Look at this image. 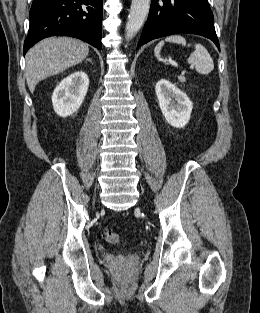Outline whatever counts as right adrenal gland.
<instances>
[{"label": "right adrenal gland", "instance_id": "obj_1", "mask_svg": "<svg viewBox=\"0 0 260 313\" xmlns=\"http://www.w3.org/2000/svg\"><path fill=\"white\" fill-rule=\"evenodd\" d=\"M87 61L92 62L90 58H89V59H87Z\"/></svg>", "mask_w": 260, "mask_h": 313}]
</instances>
